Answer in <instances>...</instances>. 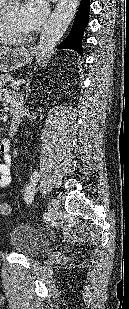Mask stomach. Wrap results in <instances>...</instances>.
<instances>
[{
  "label": "stomach",
  "mask_w": 129,
  "mask_h": 309,
  "mask_svg": "<svg viewBox=\"0 0 129 309\" xmlns=\"http://www.w3.org/2000/svg\"><path fill=\"white\" fill-rule=\"evenodd\" d=\"M31 60L28 50L21 47H0V70H13L27 65Z\"/></svg>",
  "instance_id": "1"
}]
</instances>
